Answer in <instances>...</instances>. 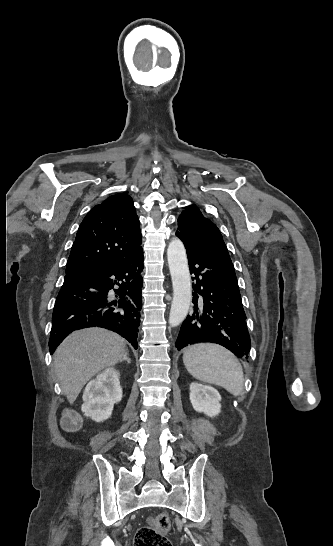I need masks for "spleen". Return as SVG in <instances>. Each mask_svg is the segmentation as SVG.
Listing matches in <instances>:
<instances>
[{"label":"spleen","instance_id":"1","mask_svg":"<svg viewBox=\"0 0 333 546\" xmlns=\"http://www.w3.org/2000/svg\"><path fill=\"white\" fill-rule=\"evenodd\" d=\"M183 362L197 380L222 386L234 396L244 388L243 369L227 349L215 344H194L184 350Z\"/></svg>","mask_w":333,"mask_h":546}]
</instances>
